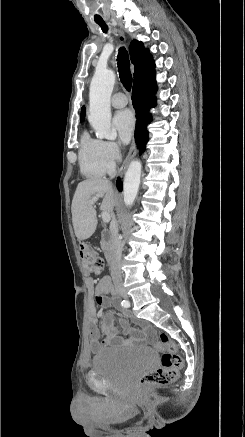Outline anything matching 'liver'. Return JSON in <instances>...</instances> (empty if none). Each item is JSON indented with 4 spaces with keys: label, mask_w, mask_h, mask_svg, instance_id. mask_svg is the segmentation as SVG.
<instances>
[{
    "label": "liver",
    "mask_w": 245,
    "mask_h": 437,
    "mask_svg": "<svg viewBox=\"0 0 245 437\" xmlns=\"http://www.w3.org/2000/svg\"><path fill=\"white\" fill-rule=\"evenodd\" d=\"M92 197L103 198L101 209L113 216L116 193L112 183L105 179H87L80 182L72 200V223L79 241L90 238L97 227V212L90 200Z\"/></svg>",
    "instance_id": "liver-1"
}]
</instances>
